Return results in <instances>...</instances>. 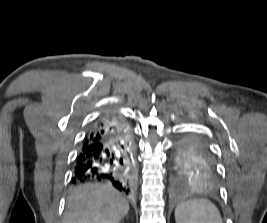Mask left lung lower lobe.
I'll return each instance as SVG.
<instances>
[{"mask_svg": "<svg viewBox=\"0 0 267 223\" xmlns=\"http://www.w3.org/2000/svg\"><path fill=\"white\" fill-rule=\"evenodd\" d=\"M176 176L184 180L183 189H217V181L213 179L221 176V171H176Z\"/></svg>", "mask_w": 267, "mask_h": 223, "instance_id": "0a47b994", "label": "left lung lower lobe"}]
</instances>
